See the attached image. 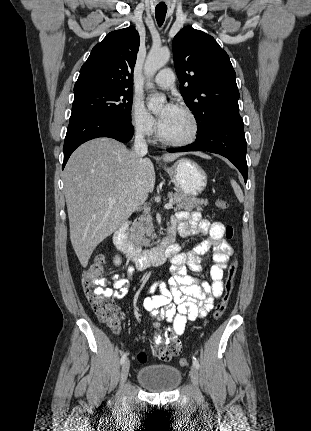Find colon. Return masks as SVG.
Segmentation results:
<instances>
[{
    "mask_svg": "<svg viewBox=\"0 0 311 431\" xmlns=\"http://www.w3.org/2000/svg\"><path fill=\"white\" fill-rule=\"evenodd\" d=\"M215 205L220 210H227L229 204L227 201L217 199ZM226 238L232 239L234 236V228L230 225L226 227ZM104 256L98 255L88 269L83 273L82 283L87 298L92 304L95 313L99 319L107 324L114 332H119L122 325V319L117 306L114 304L110 297L105 296L101 292V277L104 271ZM238 269V262L234 259L227 269V276L224 283V291L220 301L213 311V317L219 319L225 312L232 295L235 277ZM181 351V344L177 340L160 339L156 341L153 355L162 360H169L179 354ZM140 362L146 361V354L140 352L138 354ZM180 366H186L187 360L181 358L178 361Z\"/></svg>",
    "mask_w": 311,
    "mask_h": 431,
    "instance_id": "colon-1",
    "label": "colon"
}]
</instances>
